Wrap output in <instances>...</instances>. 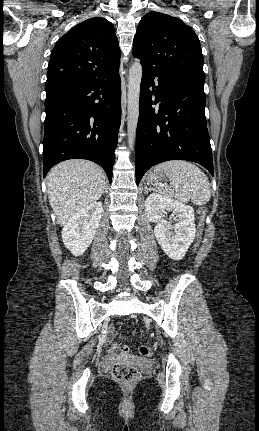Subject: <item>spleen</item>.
Masks as SVG:
<instances>
[{"instance_id": "spleen-1", "label": "spleen", "mask_w": 259, "mask_h": 431, "mask_svg": "<svg viewBox=\"0 0 259 431\" xmlns=\"http://www.w3.org/2000/svg\"><path fill=\"white\" fill-rule=\"evenodd\" d=\"M155 171H165L170 187L163 194L177 201L204 205L211 197L210 183L205 173L195 164L183 160H172L159 164Z\"/></svg>"}]
</instances>
